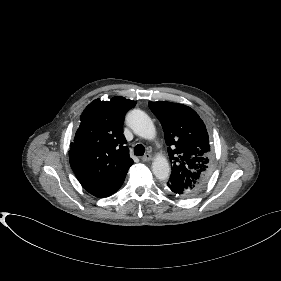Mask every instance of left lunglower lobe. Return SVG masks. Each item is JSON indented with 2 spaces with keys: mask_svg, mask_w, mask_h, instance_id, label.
<instances>
[{
  "mask_svg": "<svg viewBox=\"0 0 281 281\" xmlns=\"http://www.w3.org/2000/svg\"><path fill=\"white\" fill-rule=\"evenodd\" d=\"M165 189L169 193H171V194H173V195H175L177 197L188 198V197L192 196V192L191 191L184 190V189L179 188V187L174 186V185L167 184V186H165Z\"/></svg>",
  "mask_w": 281,
  "mask_h": 281,
  "instance_id": "obj_1",
  "label": "left lung lower lobe"
}]
</instances>
